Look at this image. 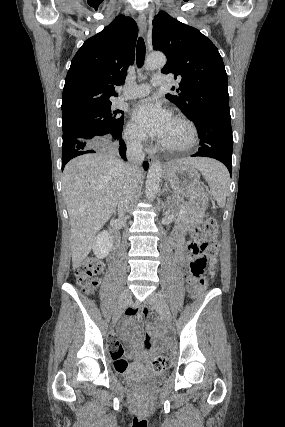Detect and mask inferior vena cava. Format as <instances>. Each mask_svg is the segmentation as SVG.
<instances>
[{
    "label": "inferior vena cava",
    "mask_w": 285,
    "mask_h": 427,
    "mask_svg": "<svg viewBox=\"0 0 285 427\" xmlns=\"http://www.w3.org/2000/svg\"><path fill=\"white\" fill-rule=\"evenodd\" d=\"M139 137H131L127 140L126 164L122 175V186L118 198L119 219L123 221L124 214L133 200L138 186L137 176L141 172L140 165L144 161L145 155Z\"/></svg>",
    "instance_id": "1"
}]
</instances>
